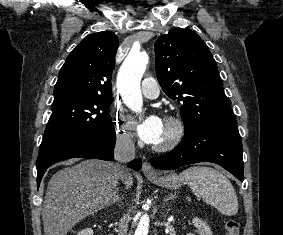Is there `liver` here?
<instances>
[{
  "mask_svg": "<svg viewBox=\"0 0 283 235\" xmlns=\"http://www.w3.org/2000/svg\"><path fill=\"white\" fill-rule=\"evenodd\" d=\"M119 178L111 162L96 159L83 160L54 174L42 209L45 235H66L85 217L101 210L114 195ZM122 181L126 188L133 185L128 172L123 173Z\"/></svg>",
  "mask_w": 283,
  "mask_h": 235,
  "instance_id": "obj_1",
  "label": "liver"
}]
</instances>
